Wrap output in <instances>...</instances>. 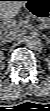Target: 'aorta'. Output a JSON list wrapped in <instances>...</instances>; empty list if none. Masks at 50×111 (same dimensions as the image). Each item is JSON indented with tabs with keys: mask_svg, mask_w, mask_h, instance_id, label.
<instances>
[{
	"mask_svg": "<svg viewBox=\"0 0 50 111\" xmlns=\"http://www.w3.org/2000/svg\"><path fill=\"white\" fill-rule=\"evenodd\" d=\"M25 44L30 49H37L41 45V39L37 35L27 36Z\"/></svg>",
	"mask_w": 50,
	"mask_h": 111,
	"instance_id": "obj_1",
	"label": "aorta"
}]
</instances>
